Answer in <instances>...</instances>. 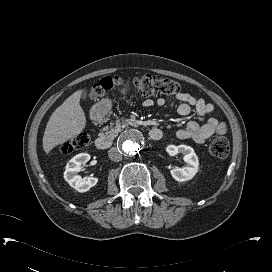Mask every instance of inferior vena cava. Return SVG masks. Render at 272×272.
<instances>
[{"mask_svg":"<svg viewBox=\"0 0 272 272\" xmlns=\"http://www.w3.org/2000/svg\"><path fill=\"white\" fill-rule=\"evenodd\" d=\"M108 156L110 160L118 162L122 160V153L116 147L110 148L108 151Z\"/></svg>","mask_w":272,"mask_h":272,"instance_id":"602c4592","label":"inferior vena cava"}]
</instances>
